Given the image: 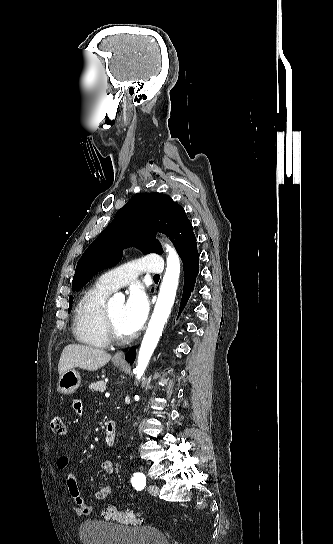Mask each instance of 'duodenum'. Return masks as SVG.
Returning <instances> with one entry per match:
<instances>
[{
    "instance_id": "duodenum-1",
    "label": "duodenum",
    "mask_w": 333,
    "mask_h": 544,
    "mask_svg": "<svg viewBox=\"0 0 333 544\" xmlns=\"http://www.w3.org/2000/svg\"><path fill=\"white\" fill-rule=\"evenodd\" d=\"M116 438V425L113 421H108L105 428L104 441L107 445H112Z\"/></svg>"
}]
</instances>
